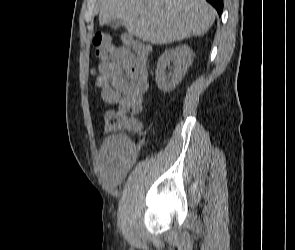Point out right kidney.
<instances>
[{
    "mask_svg": "<svg viewBox=\"0 0 295 250\" xmlns=\"http://www.w3.org/2000/svg\"><path fill=\"white\" fill-rule=\"evenodd\" d=\"M194 53L187 45L166 50L158 59L155 80L163 92L172 91L185 76L193 61ZM173 63V72L166 74V67Z\"/></svg>",
    "mask_w": 295,
    "mask_h": 250,
    "instance_id": "obj_1",
    "label": "right kidney"
}]
</instances>
